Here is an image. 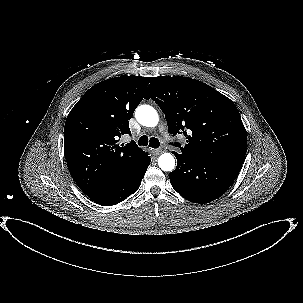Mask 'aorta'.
Returning a JSON list of instances; mask_svg holds the SVG:
<instances>
[{
	"mask_svg": "<svg viewBox=\"0 0 303 303\" xmlns=\"http://www.w3.org/2000/svg\"><path fill=\"white\" fill-rule=\"evenodd\" d=\"M135 117L146 127H155L159 122L157 111L150 105H140L135 111ZM158 165L163 171H172L175 168V158L170 153H163L158 158Z\"/></svg>",
	"mask_w": 303,
	"mask_h": 303,
	"instance_id": "obj_1",
	"label": "aorta"
}]
</instances>
